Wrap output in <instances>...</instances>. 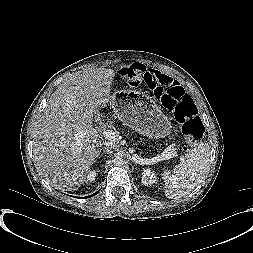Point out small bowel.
Segmentation results:
<instances>
[{
    "label": "small bowel",
    "mask_w": 253,
    "mask_h": 253,
    "mask_svg": "<svg viewBox=\"0 0 253 253\" xmlns=\"http://www.w3.org/2000/svg\"><path fill=\"white\" fill-rule=\"evenodd\" d=\"M140 84H143L146 87L153 90H156L162 87H169L173 85L180 86L177 80L155 69H146V73L143 76Z\"/></svg>",
    "instance_id": "obj_1"
}]
</instances>
